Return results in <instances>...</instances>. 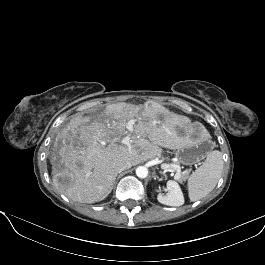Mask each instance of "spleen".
<instances>
[{
  "label": "spleen",
  "mask_w": 265,
  "mask_h": 265,
  "mask_svg": "<svg viewBox=\"0 0 265 265\" xmlns=\"http://www.w3.org/2000/svg\"><path fill=\"white\" fill-rule=\"evenodd\" d=\"M222 153L214 150L207 155L203 164L188 178V194L191 201L207 196L217 185L223 170Z\"/></svg>",
  "instance_id": "1"
}]
</instances>
